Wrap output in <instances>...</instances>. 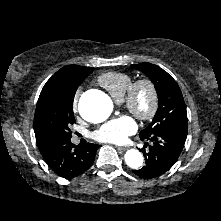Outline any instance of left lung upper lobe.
I'll return each mask as SVG.
<instances>
[{"instance_id": "1", "label": "left lung upper lobe", "mask_w": 221, "mask_h": 221, "mask_svg": "<svg viewBox=\"0 0 221 221\" xmlns=\"http://www.w3.org/2000/svg\"><path fill=\"white\" fill-rule=\"evenodd\" d=\"M131 67L144 72L155 85L159 106L150 125L139 133L150 137L172 128H187V112L181 90L176 81L162 68L151 63H140Z\"/></svg>"}]
</instances>
